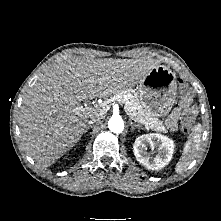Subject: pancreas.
<instances>
[{
	"mask_svg": "<svg viewBox=\"0 0 221 221\" xmlns=\"http://www.w3.org/2000/svg\"><path fill=\"white\" fill-rule=\"evenodd\" d=\"M114 99L124 104L126 113L136 122L146 124L157 132H167L162 121L151 113L145 112L134 90H124L114 95ZM128 100V101H127Z\"/></svg>",
	"mask_w": 221,
	"mask_h": 221,
	"instance_id": "obj_1",
	"label": "pancreas"
}]
</instances>
